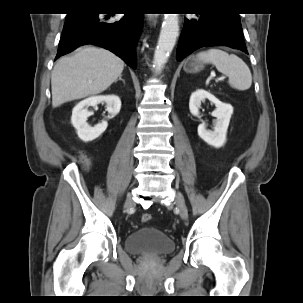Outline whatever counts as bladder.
I'll use <instances>...</instances> for the list:
<instances>
[{"mask_svg":"<svg viewBox=\"0 0 303 303\" xmlns=\"http://www.w3.org/2000/svg\"><path fill=\"white\" fill-rule=\"evenodd\" d=\"M124 246L128 253L156 257L165 256L176 248L170 236L150 226L140 227L128 234Z\"/></svg>","mask_w":303,"mask_h":303,"instance_id":"bladder-1","label":"bladder"}]
</instances>
